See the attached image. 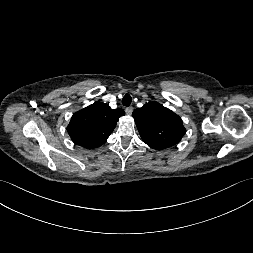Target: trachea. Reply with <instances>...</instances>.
<instances>
[{
	"label": "trachea",
	"mask_w": 253,
	"mask_h": 253,
	"mask_svg": "<svg viewBox=\"0 0 253 253\" xmlns=\"http://www.w3.org/2000/svg\"><path fill=\"white\" fill-rule=\"evenodd\" d=\"M132 102V97L129 94H126L122 99V104L124 106H129Z\"/></svg>",
	"instance_id": "trachea-1"
}]
</instances>
